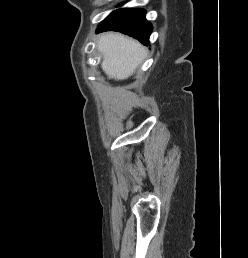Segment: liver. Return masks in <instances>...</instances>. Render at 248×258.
Wrapping results in <instances>:
<instances>
[{
	"instance_id": "1",
	"label": "liver",
	"mask_w": 248,
	"mask_h": 258,
	"mask_svg": "<svg viewBox=\"0 0 248 258\" xmlns=\"http://www.w3.org/2000/svg\"><path fill=\"white\" fill-rule=\"evenodd\" d=\"M103 56V71L117 80L131 76L146 56V49L136 40L120 33H105L97 45Z\"/></svg>"
}]
</instances>
